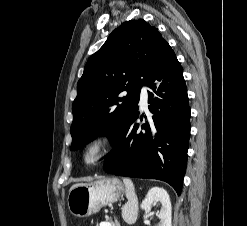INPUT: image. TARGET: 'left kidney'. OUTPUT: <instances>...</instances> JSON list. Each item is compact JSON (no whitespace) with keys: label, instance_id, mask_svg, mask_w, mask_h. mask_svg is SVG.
I'll return each mask as SVG.
<instances>
[{"label":"left kidney","instance_id":"obj_1","mask_svg":"<svg viewBox=\"0 0 247 226\" xmlns=\"http://www.w3.org/2000/svg\"><path fill=\"white\" fill-rule=\"evenodd\" d=\"M160 202L161 209L160 212L157 213L158 218L160 219L159 226H171V202L170 197L167 191L160 187H153L151 188L145 199L142 201L141 208L145 211L144 219L147 223L149 221L147 218L151 214V206L153 203Z\"/></svg>","mask_w":247,"mask_h":226}]
</instances>
